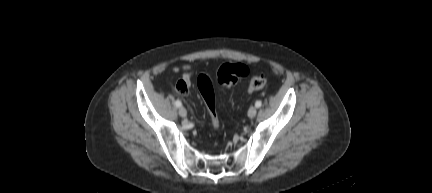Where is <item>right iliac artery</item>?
Listing matches in <instances>:
<instances>
[{"label":"right iliac artery","instance_id":"right-iliac-artery-1","mask_svg":"<svg viewBox=\"0 0 432 193\" xmlns=\"http://www.w3.org/2000/svg\"><path fill=\"white\" fill-rule=\"evenodd\" d=\"M175 105H176L177 107H181V106H182V103H181L180 100H176Z\"/></svg>","mask_w":432,"mask_h":193}]
</instances>
